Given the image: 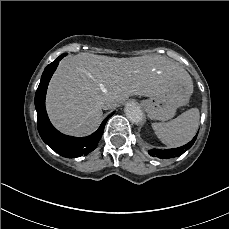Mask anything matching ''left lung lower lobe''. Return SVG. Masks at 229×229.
I'll return each instance as SVG.
<instances>
[{
    "mask_svg": "<svg viewBox=\"0 0 229 229\" xmlns=\"http://www.w3.org/2000/svg\"><path fill=\"white\" fill-rule=\"evenodd\" d=\"M197 135H198V133L189 143H187L181 147L173 148V149H165V150L151 149V150H149V154L153 157H158L160 159H170V158L178 157L181 154H183L185 151H187L189 148L192 147V145L196 141Z\"/></svg>",
    "mask_w": 229,
    "mask_h": 229,
    "instance_id": "0a47b994",
    "label": "left lung lower lobe"
}]
</instances>
